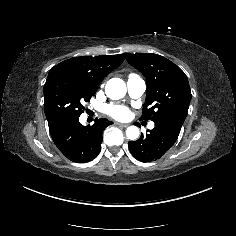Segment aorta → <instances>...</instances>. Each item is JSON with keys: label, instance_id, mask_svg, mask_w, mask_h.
<instances>
[{"label": "aorta", "instance_id": "obj_1", "mask_svg": "<svg viewBox=\"0 0 236 236\" xmlns=\"http://www.w3.org/2000/svg\"><path fill=\"white\" fill-rule=\"evenodd\" d=\"M125 89V90H124ZM105 92L107 96L111 99L114 98V95L116 96H123L124 93H126V85L123 80L119 78H112L108 81ZM140 131L137 126H129L126 129V136L130 140H136L139 137Z\"/></svg>", "mask_w": 236, "mask_h": 236}]
</instances>
